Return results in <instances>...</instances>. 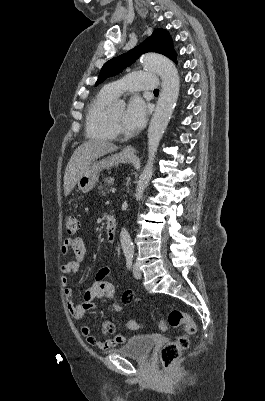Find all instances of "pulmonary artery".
<instances>
[{
    "label": "pulmonary artery",
    "mask_w": 265,
    "mask_h": 401,
    "mask_svg": "<svg viewBox=\"0 0 265 401\" xmlns=\"http://www.w3.org/2000/svg\"><path fill=\"white\" fill-rule=\"evenodd\" d=\"M156 78L152 72H132L121 77V81H115L114 84H109L107 90L110 94L118 97L124 90V93L138 95L140 90H155Z\"/></svg>",
    "instance_id": "e3ab8cb5"
}]
</instances>
